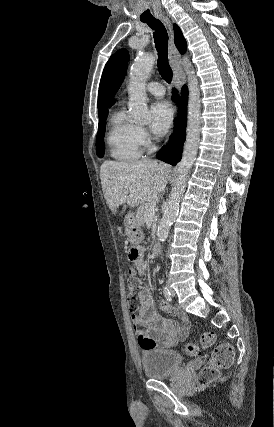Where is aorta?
<instances>
[{
  "instance_id": "762f6f07",
  "label": "aorta",
  "mask_w": 274,
  "mask_h": 427,
  "mask_svg": "<svg viewBox=\"0 0 274 427\" xmlns=\"http://www.w3.org/2000/svg\"><path fill=\"white\" fill-rule=\"evenodd\" d=\"M154 62L155 57L153 54H140L137 56L130 70V79L127 87L129 93V107L131 117L137 122H146L149 119L146 105L145 84ZM183 66L188 74L189 89L186 140L184 143L182 160L178 165V176L157 230V237L162 242L167 239L170 227L175 222L178 215L180 198L184 193L188 174L196 160L200 141L201 111L198 80L191 63L184 59Z\"/></svg>"
}]
</instances>
